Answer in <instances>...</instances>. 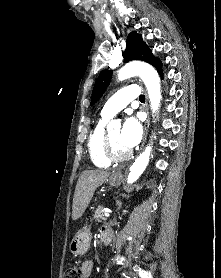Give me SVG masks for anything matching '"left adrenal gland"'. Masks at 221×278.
Instances as JSON below:
<instances>
[{
    "label": "left adrenal gland",
    "mask_w": 221,
    "mask_h": 278,
    "mask_svg": "<svg viewBox=\"0 0 221 278\" xmlns=\"http://www.w3.org/2000/svg\"><path fill=\"white\" fill-rule=\"evenodd\" d=\"M117 202V205H118V210L122 207V202L121 201H116Z\"/></svg>",
    "instance_id": "1"
}]
</instances>
